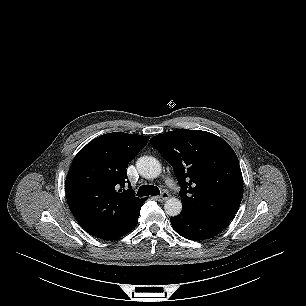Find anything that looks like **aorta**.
Instances as JSON below:
<instances>
[{"label":"aorta","mask_w":306,"mask_h":306,"mask_svg":"<svg viewBox=\"0 0 306 306\" xmlns=\"http://www.w3.org/2000/svg\"><path fill=\"white\" fill-rule=\"evenodd\" d=\"M136 167L140 175L147 179L157 178L162 170L160 162L152 156L140 157L136 162ZM164 209L167 215L174 217L180 214L182 203L178 198L172 197L166 200Z\"/></svg>","instance_id":"aorta-1"}]
</instances>
